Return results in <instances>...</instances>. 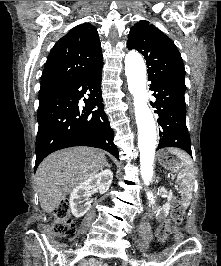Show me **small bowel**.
<instances>
[{
    "label": "small bowel",
    "instance_id": "small-bowel-1",
    "mask_svg": "<svg viewBox=\"0 0 221 266\" xmlns=\"http://www.w3.org/2000/svg\"><path fill=\"white\" fill-rule=\"evenodd\" d=\"M89 266H110V265L102 261H93L89 264Z\"/></svg>",
    "mask_w": 221,
    "mask_h": 266
}]
</instances>
